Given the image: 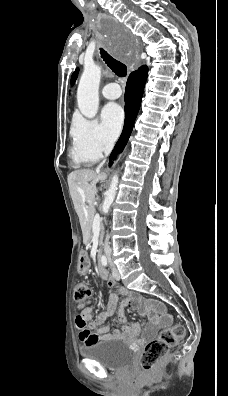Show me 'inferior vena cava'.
I'll return each instance as SVG.
<instances>
[{
	"mask_svg": "<svg viewBox=\"0 0 228 396\" xmlns=\"http://www.w3.org/2000/svg\"><path fill=\"white\" fill-rule=\"evenodd\" d=\"M113 145H114L113 141H107L106 142L105 147H104V154H105L106 157L112 151ZM104 163H105V160H103V162L100 163V165L97 167V170H99L103 166ZM104 252H105L106 256H110V254H111V248H110V245H109V235L108 234H107L106 240H105Z\"/></svg>",
	"mask_w": 228,
	"mask_h": 396,
	"instance_id": "obj_1",
	"label": "inferior vena cava"
}]
</instances>
